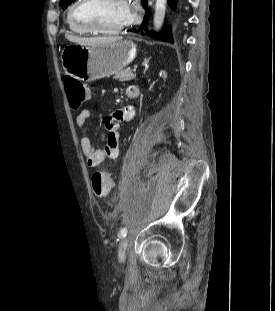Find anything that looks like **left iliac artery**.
<instances>
[{
	"instance_id": "44dca946",
	"label": "left iliac artery",
	"mask_w": 275,
	"mask_h": 311,
	"mask_svg": "<svg viewBox=\"0 0 275 311\" xmlns=\"http://www.w3.org/2000/svg\"><path fill=\"white\" fill-rule=\"evenodd\" d=\"M127 235V229L124 227L120 231V238H124Z\"/></svg>"
}]
</instances>
